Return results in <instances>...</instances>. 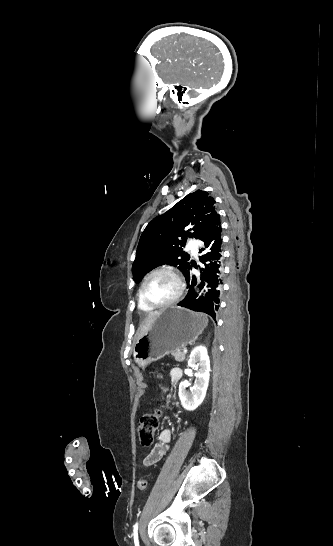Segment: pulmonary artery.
<instances>
[{"instance_id":"e3ab8cb5","label":"pulmonary artery","mask_w":333,"mask_h":546,"mask_svg":"<svg viewBox=\"0 0 333 546\" xmlns=\"http://www.w3.org/2000/svg\"><path fill=\"white\" fill-rule=\"evenodd\" d=\"M188 248L192 251L194 255H197L198 249H197V244L194 240H190L188 242Z\"/></svg>"}]
</instances>
